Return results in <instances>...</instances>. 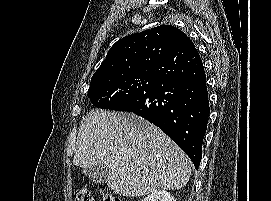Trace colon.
<instances>
[{
  "instance_id": "obj_1",
  "label": "colon",
  "mask_w": 271,
  "mask_h": 201,
  "mask_svg": "<svg viewBox=\"0 0 271 201\" xmlns=\"http://www.w3.org/2000/svg\"><path fill=\"white\" fill-rule=\"evenodd\" d=\"M76 198L77 201H95L92 192L85 186H82L78 189ZM102 201H122V200L110 193L103 192Z\"/></svg>"
}]
</instances>
